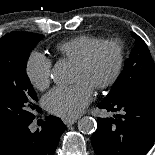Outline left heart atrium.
I'll use <instances>...</instances> for the list:
<instances>
[{"mask_svg": "<svg viewBox=\"0 0 155 155\" xmlns=\"http://www.w3.org/2000/svg\"><path fill=\"white\" fill-rule=\"evenodd\" d=\"M93 97L92 87L83 81H77L68 87H56L45 97L48 111L64 119L79 116Z\"/></svg>", "mask_w": 155, "mask_h": 155, "instance_id": "1", "label": "left heart atrium"}]
</instances>
